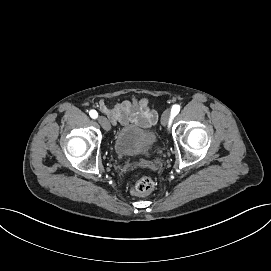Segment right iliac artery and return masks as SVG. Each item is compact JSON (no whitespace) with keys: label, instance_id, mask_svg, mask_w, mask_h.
<instances>
[{"label":"right iliac artery","instance_id":"1","mask_svg":"<svg viewBox=\"0 0 271 271\" xmlns=\"http://www.w3.org/2000/svg\"><path fill=\"white\" fill-rule=\"evenodd\" d=\"M89 115L91 116V118L95 119L98 117V113L96 112V110H91L89 112Z\"/></svg>","mask_w":271,"mask_h":271}]
</instances>
